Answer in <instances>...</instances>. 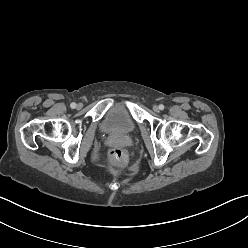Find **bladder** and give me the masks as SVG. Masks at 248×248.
<instances>
[{"label":"bladder","instance_id":"bladder-1","mask_svg":"<svg viewBox=\"0 0 248 248\" xmlns=\"http://www.w3.org/2000/svg\"><path fill=\"white\" fill-rule=\"evenodd\" d=\"M99 127L105 134L128 135L136 131L138 124L132 116L130 104L118 101L108 107Z\"/></svg>","mask_w":248,"mask_h":248}]
</instances>
